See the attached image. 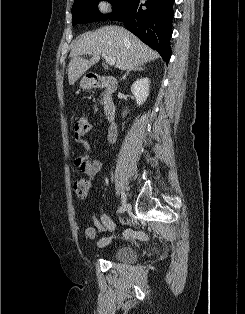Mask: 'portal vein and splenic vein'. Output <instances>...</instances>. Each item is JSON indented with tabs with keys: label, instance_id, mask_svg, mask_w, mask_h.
Masks as SVG:
<instances>
[{
	"label": "portal vein and splenic vein",
	"instance_id": "obj_1",
	"mask_svg": "<svg viewBox=\"0 0 245 314\" xmlns=\"http://www.w3.org/2000/svg\"><path fill=\"white\" fill-rule=\"evenodd\" d=\"M102 57L105 59V61L109 64V65H114L116 62V59L114 57L108 56L106 54H102Z\"/></svg>",
	"mask_w": 245,
	"mask_h": 314
}]
</instances>
